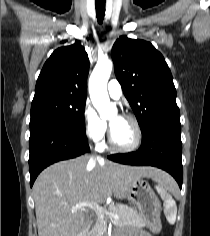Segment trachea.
I'll return each instance as SVG.
<instances>
[{
    "label": "trachea",
    "instance_id": "3493384b",
    "mask_svg": "<svg viewBox=\"0 0 210 236\" xmlns=\"http://www.w3.org/2000/svg\"><path fill=\"white\" fill-rule=\"evenodd\" d=\"M95 8L97 20L101 24L105 16V0H96Z\"/></svg>",
    "mask_w": 210,
    "mask_h": 236
}]
</instances>
